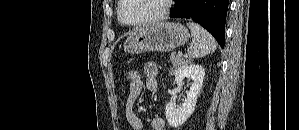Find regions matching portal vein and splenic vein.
<instances>
[{
	"label": "portal vein and splenic vein",
	"mask_w": 299,
	"mask_h": 130,
	"mask_svg": "<svg viewBox=\"0 0 299 130\" xmlns=\"http://www.w3.org/2000/svg\"><path fill=\"white\" fill-rule=\"evenodd\" d=\"M179 57H181L182 56V52H178V54H177Z\"/></svg>",
	"instance_id": "18ae733b"
}]
</instances>
